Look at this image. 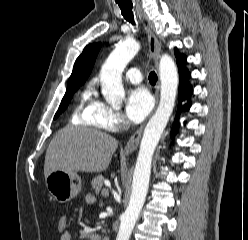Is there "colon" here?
Returning a JSON list of instances; mask_svg holds the SVG:
<instances>
[{"mask_svg": "<svg viewBox=\"0 0 248 240\" xmlns=\"http://www.w3.org/2000/svg\"><path fill=\"white\" fill-rule=\"evenodd\" d=\"M68 229V217L65 214H61L57 219V230L60 233L67 231Z\"/></svg>", "mask_w": 248, "mask_h": 240, "instance_id": "1", "label": "colon"}]
</instances>
